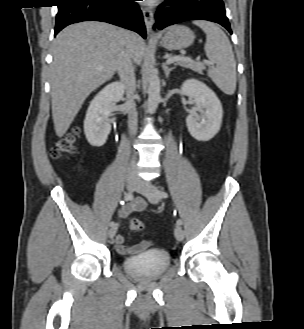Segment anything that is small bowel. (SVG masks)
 Returning <instances> with one entry per match:
<instances>
[{
  "instance_id": "obj_1",
  "label": "small bowel",
  "mask_w": 304,
  "mask_h": 329,
  "mask_svg": "<svg viewBox=\"0 0 304 329\" xmlns=\"http://www.w3.org/2000/svg\"><path fill=\"white\" fill-rule=\"evenodd\" d=\"M147 207V203L142 198H136L134 201L122 206L118 213L121 217H127L133 212L143 211ZM151 245L150 241H141L135 245H126L124 237L117 235L115 238V248L122 255H132L148 249Z\"/></svg>"
}]
</instances>
